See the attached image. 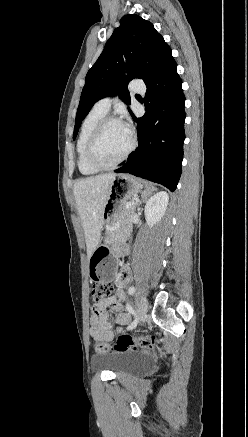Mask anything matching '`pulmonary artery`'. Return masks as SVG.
I'll list each match as a JSON object with an SVG mask.
<instances>
[{"label": "pulmonary artery", "instance_id": "pulmonary-artery-1", "mask_svg": "<svg viewBox=\"0 0 248 437\" xmlns=\"http://www.w3.org/2000/svg\"><path fill=\"white\" fill-rule=\"evenodd\" d=\"M130 88L132 91L137 92V93H143L145 91L144 84L138 79L133 80L131 82ZM111 102H112V99L110 97L102 98L96 102V104L94 105V108L103 112V113H107L110 109Z\"/></svg>", "mask_w": 248, "mask_h": 437}]
</instances>
